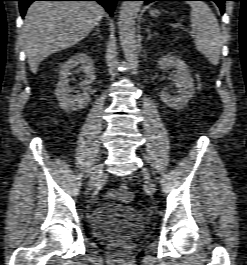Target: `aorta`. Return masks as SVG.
<instances>
[{"mask_svg": "<svg viewBox=\"0 0 247 265\" xmlns=\"http://www.w3.org/2000/svg\"><path fill=\"white\" fill-rule=\"evenodd\" d=\"M141 8L140 1H124L119 12V36L123 53L132 74H137L138 51L135 20Z\"/></svg>", "mask_w": 247, "mask_h": 265, "instance_id": "762f6f07", "label": "aorta"}]
</instances>
